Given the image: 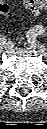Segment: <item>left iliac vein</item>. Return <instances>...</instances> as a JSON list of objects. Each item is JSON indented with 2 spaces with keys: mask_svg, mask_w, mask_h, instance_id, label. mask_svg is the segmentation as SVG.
<instances>
[{
  "mask_svg": "<svg viewBox=\"0 0 47 129\" xmlns=\"http://www.w3.org/2000/svg\"><path fill=\"white\" fill-rule=\"evenodd\" d=\"M29 44L32 49L37 50L43 57H46L45 48L37 41L36 37L29 38Z\"/></svg>",
  "mask_w": 47,
  "mask_h": 129,
  "instance_id": "obj_1",
  "label": "left iliac vein"
}]
</instances>
